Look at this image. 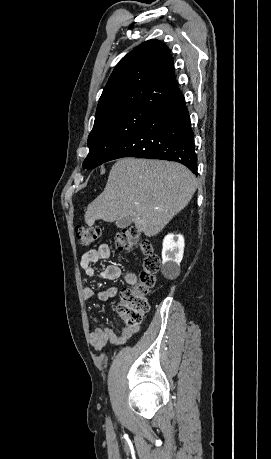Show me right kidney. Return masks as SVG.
Returning <instances> with one entry per match:
<instances>
[{
    "label": "right kidney",
    "mask_w": 271,
    "mask_h": 459,
    "mask_svg": "<svg viewBox=\"0 0 271 459\" xmlns=\"http://www.w3.org/2000/svg\"><path fill=\"white\" fill-rule=\"evenodd\" d=\"M184 253V237L181 233H168L163 239L162 267L164 277L175 279L180 273V261Z\"/></svg>",
    "instance_id": "right-kidney-1"
}]
</instances>
